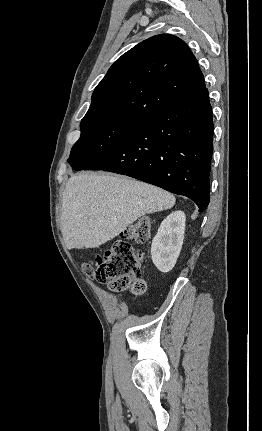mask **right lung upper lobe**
<instances>
[{
	"mask_svg": "<svg viewBox=\"0 0 262 431\" xmlns=\"http://www.w3.org/2000/svg\"><path fill=\"white\" fill-rule=\"evenodd\" d=\"M197 60L178 37L161 34L123 54L95 88L81 124L141 121L202 92Z\"/></svg>",
	"mask_w": 262,
	"mask_h": 431,
	"instance_id": "obj_1",
	"label": "right lung upper lobe"
}]
</instances>
